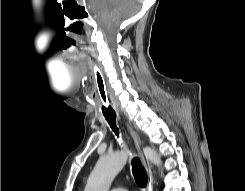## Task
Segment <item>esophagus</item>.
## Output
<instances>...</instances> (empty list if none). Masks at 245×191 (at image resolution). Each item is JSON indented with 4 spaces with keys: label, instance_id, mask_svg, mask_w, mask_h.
Instances as JSON below:
<instances>
[{
    "label": "esophagus",
    "instance_id": "esophagus-1",
    "mask_svg": "<svg viewBox=\"0 0 245 191\" xmlns=\"http://www.w3.org/2000/svg\"><path fill=\"white\" fill-rule=\"evenodd\" d=\"M128 128H129L131 136L134 140L135 146H136V148H137V150L141 156L143 165H144L145 170H146L147 175H148V182H147V186H146V191H152V189H153L152 166L150 165V163L148 162V160L146 159V157L142 153L141 146L143 145V142H142L140 136L137 134V132L132 129V127H130L128 125Z\"/></svg>",
    "mask_w": 245,
    "mask_h": 191
}]
</instances>
